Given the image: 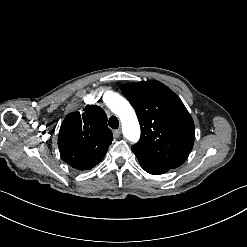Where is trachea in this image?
I'll use <instances>...</instances> for the list:
<instances>
[{"mask_svg":"<svg viewBox=\"0 0 247 247\" xmlns=\"http://www.w3.org/2000/svg\"><path fill=\"white\" fill-rule=\"evenodd\" d=\"M109 126L113 129H117L119 127V120L117 119V117L115 116L110 117Z\"/></svg>","mask_w":247,"mask_h":247,"instance_id":"obj_1","label":"trachea"}]
</instances>
